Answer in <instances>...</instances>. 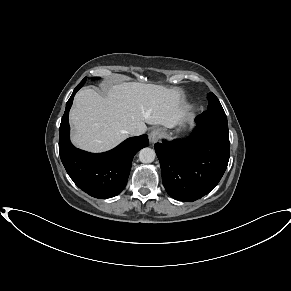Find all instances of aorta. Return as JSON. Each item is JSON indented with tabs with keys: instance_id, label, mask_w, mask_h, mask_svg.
I'll return each instance as SVG.
<instances>
[{
	"instance_id": "1",
	"label": "aorta",
	"mask_w": 291,
	"mask_h": 291,
	"mask_svg": "<svg viewBox=\"0 0 291 291\" xmlns=\"http://www.w3.org/2000/svg\"><path fill=\"white\" fill-rule=\"evenodd\" d=\"M156 157V153L153 149L151 148H143L139 152V160L142 163H151L154 161Z\"/></svg>"
}]
</instances>
